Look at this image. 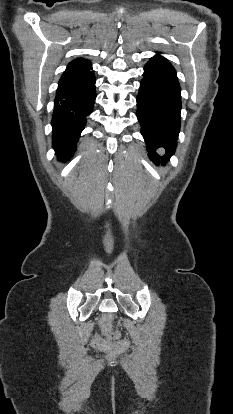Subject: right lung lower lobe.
Returning a JSON list of instances; mask_svg holds the SVG:
<instances>
[{
	"mask_svg": "<svg viewBox=\"0 0 233 414\" xmlns=\"http://www.w3.org/2000/svg\"><path fill=\"white\" fill-rule=\"evenodd\" d=\"M91 69L65 71L58 83L52 126L53 147L59 160L73 155L86 117L93 111L96 79Z\"/></svg>",
	"mask_w": 233,
	"mask_h": 414,
	"instance_id": "right-lung-lower-lobe-1",
	"label": "right lung lower lobe"
}]
</instances>
